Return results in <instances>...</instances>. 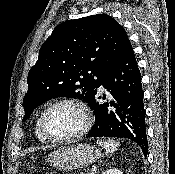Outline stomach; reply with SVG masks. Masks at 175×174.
I'll list each match as a JSON object with an SVG mask.
<instances>
[{
    "mask_svg": "<svg viewBox=\"0 0 175 174\" xmlns=\"http://www.w3.org/2000/svg\"><path fill=\"white\" fill-rule=\"evenodd\" d=\"M101 157V151L96 147L79 143L61 147L48 155L47 162L60 170H73L87 167Z\"/></svg>",
    "mask_w": 175,
    "mask_h": 174,
    "instance_id": "stomach-1",
    "label": "stomach"
}]
</instances>
